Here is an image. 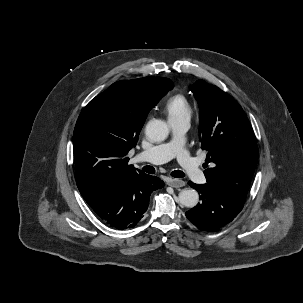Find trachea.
Here are the masks:
<instances>
[{
    "label": "trachea",
    "mask_w": 303,
    "mask_h": 303,
    "mask_svg": "<svg viewBox=\"0 0 303 303\" xmlns=\"http://www.w3.org/2000/svg\"><path fill=\"white\" fill-rule=\"evenodd\" d=\"M143 170L150 174H153L155 172V169L151 166H145ZM171 176L175 178H183L185 174L180 170H175L171 173Z\"/></svg>",
    "instance_id": "1"
}]
</instances>
